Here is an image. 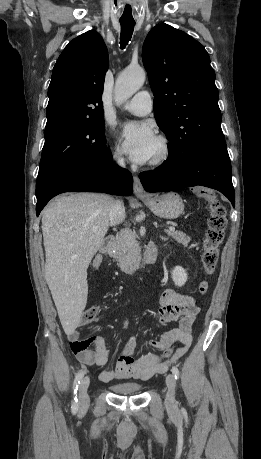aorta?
I'll return each mask as SVG.
<instances>
[{
    "mask_svg": "<svg viewBox=\"0 0 261 459\" xmlns=\"http://www.w3.org/2000/svg\"><path fill=\"white\" fill-rule=\"evenodd\" d=\"M146 73L142 68H127L117 78L115 101L121 104L132 97L144 84Z\"/></svg>",
    "mask_w": 261,
    "mask_h": 459,
    "instance_id": "1",
    "label": "aorta"
}]
</instances>
